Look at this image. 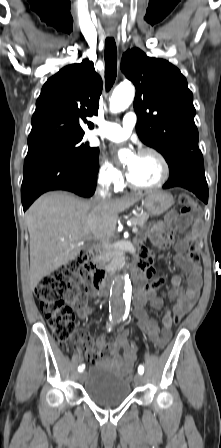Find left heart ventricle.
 <instances>
[{"label":"left heart ventricle","mask_w":221,"mask_h":448,"mask_svg":"<svg viewBox=\"0 0 221 448\" xmlns=\"http://www.w3.org/2000/svg\"><path fill=\"white\" fill-rule=\"evenodd\" d=\"M129 165L133 167L129 176L132 180L140 184H153L163 174L161 164L152 155L135 156L131 158Z\"/></svg>","instance_id":"obj_1"}]
</instances>
